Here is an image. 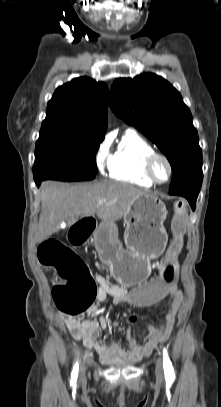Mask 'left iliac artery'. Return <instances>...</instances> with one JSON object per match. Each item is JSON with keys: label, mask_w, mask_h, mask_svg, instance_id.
Instances as JSON below:
<instances>
[{"label": "left iliac artery", "mask_w": 221, "mask_h": 407, "mask_svg": "<svg viewBox=\"0 0 221 407\" xmlns=\"http://www.w3.org/2000/svg\"><path fill=\"white\" fill-rule=\"evenodd\" d=\"M163 366H164V372L165 376L167 378H173L174 377V369L172 366V363L170 361V358L168 356V351L166 348H163Z\"/></svg>", "instance_id": "1"}]
</instances>
